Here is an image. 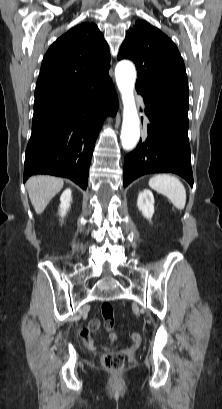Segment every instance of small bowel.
Wrapping results in <instances>:
<instances>
[{
	"label": "small bowel",
	"instance_id": "1",
	"mask_svg": "<svg viewBox=\"0 0 222 409\" xmlns=\"http://www.w3.org/2000/svg\"><path fill=\"white\" fill-rule=\"evenodd\" d=\"M99 326H100L99 322L96 319L90 320L89 323H88V326L86 328L87 331H88V336H89V334L91 332L97 331L99 329ZM116 340H117L116 335L114 333L110 334V343H109L110 348L116 346ZM86 345L90 349H95L96 348V345H95L94 341L91 340V339H88V338H87V341H86Z\"/></svg>",
	"mask_w": 222,
	"mask_h": 409
}]
</instances>
